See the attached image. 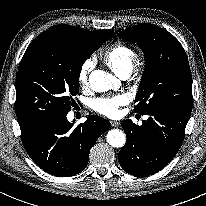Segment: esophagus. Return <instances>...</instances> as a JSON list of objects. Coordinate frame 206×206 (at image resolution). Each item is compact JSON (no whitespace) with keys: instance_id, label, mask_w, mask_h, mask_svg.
I'll list each match as a JSON object with an SVG mask.
<instances>
[{"instance_id":"esophagus-1","label":"esophagus","mask_w":206,"mask_h":206,"mask_svg":"<svg viewBox=\"0 0 206 206\" xmlns=\"http://www.w3.org/2000/svg\"><path fill=\"white\" fill-rule=\"evenodd\" d=\"M110 123L113 127H117L120 124L118 121H110Z\"/></svg>"}]
</instances>
